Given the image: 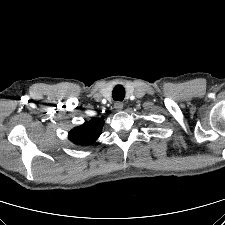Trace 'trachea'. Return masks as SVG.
Masks as SVG:
<instances>
[{"label":"trachea","instance_id":"obj_1","mask_svg":"<svg viewBox=\"0 0 225 225\" xmlns=\"http://www.w3.org/2000/svg\"><path fill=\"white\" fill-rule=\"evenodd\" d=\"M112 97L115 101H122L125 97V89L122 85H116L112 91Z\"/></svg>","mask_w":225,"mask_h":225}]
</instances>
